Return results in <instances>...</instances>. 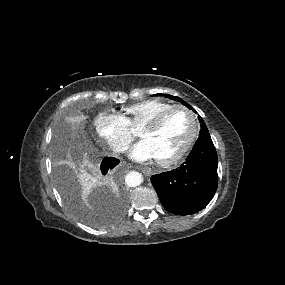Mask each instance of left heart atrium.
Instances as JSON below:
<instances>
[{
    "instance_id": "left-heart-atrium-1",
    "label": "left heart atrium",
    "mask_w": 285,
    "mask_h": 285,
    "mask_svg": "<svg viewBox=\"0 0 285 285\" xmlns=\"http://www.w3.org/2000/svg\"><path fill=\"white\" fill-rule=\"evenodd\" d=\"M133 160L145 162L153 161L156 159L155 154L146 140H141L136 143L129 152Z\"/></svg>"
}]
</instances>
